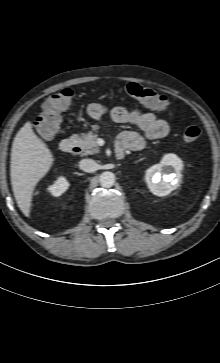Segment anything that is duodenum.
<instances>
[{"label":"duodenum","instance_id":"1","mask_svg":"<svg viewBox=\"0 0 220 363\" xmlns=\"http://www.w3.org/2000/svg\"><path fill=\"white\" fill-rule=\"evenodd\" d=\"M60 149L65 153H77L80 150L77 140L71 137L62 140V142L60 143ZM124 155H125L124 148L117 147L116 148L117 158L123 159Z\"/></svg>","mask_w":220,"mask_h":363}]
</instances>
